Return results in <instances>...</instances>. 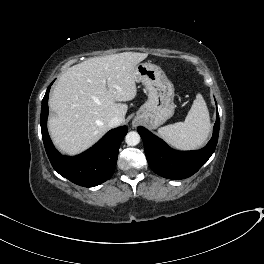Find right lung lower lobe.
Returning <instances> with one entry per match:
<instances>
[{"mask_svg": "<svg viewBox=\"0 0 264 264\" xmlns=\"http://www.w3.org/2000/svg\"><path fill=\"white\" fill-rule=\"evenodd\" d=\"M50 87L51 85L42 100L40 125L45 150L53 168L63 177L83 187H94L107 181L114 173L119 146L128 132L127 127L110 130L93 147L78 156L61 155L54 148L47 131Z\"/></svg>", "mask_w": 264, "mask_h": 264, "instance_id": "1", "label": "right lung lower lobe"}]
</instances>
